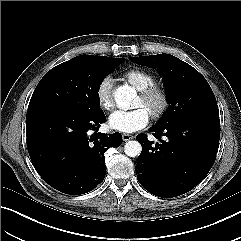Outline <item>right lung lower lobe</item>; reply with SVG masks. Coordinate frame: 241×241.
Here are the masks:
<instances>
[{
    "label": "right lung lower lobe",
    "mask_w": 241,
    "mask_h": 241,
    "mask_svg": "<svg viewBox=\"0 0 241 241\" xmlns=\"http://www.w3.org/2000/svg\"><path fill=\"white\" fill-rule=\"evenodd\" d=\"M106 121L103 111L83 115L51 108L27 113V148L42 179L56 190L80 195L105 178L104 153L122 144L120 133L90 135Z\"/></svg>",
    "instance_id": "1"
}]
</instances>
